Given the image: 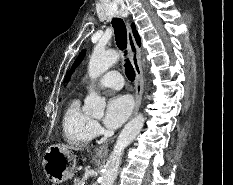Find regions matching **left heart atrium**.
<instances>
[{
	"label": "left heart atrium",
	"mask_w": 233,
	"mask_h": 185,
	"mask_svg": "<svg viewBox=\"0 0 233 185\" xmlns=\"http://www.w3.org/2000/svg\"><path fill=\"white\" fill-rule=\"evenodd\" d=\"M131 110L132 102L127 95L111 97L107 102L104 124L110 129L118 128L128 118Z\"/></svg>",
	"instance_id": "39dd6f15"
}]
</instances>
